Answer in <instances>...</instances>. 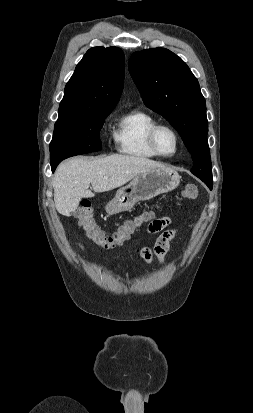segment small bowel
Wrapping results in <instances>:
<instances>
[{
	"label": "small bowel",
	"mask_w": 253,
	"mask_h": 413,
	"mask_svg": "<svg viewBox=\"0 0 253 413\" xmlns=\"http://www.w3.org/2000/svg\"><path fill=\"white\" fill-rule=\"evenodd\" d=\"M171 223L169 216H164L158 219L152 220L148 225V232L151 234L159 233L153 248L144 247L140 249V256L147 262L152 263L156 258L160 263L164 261L166 254L170 249V244L177 235V231L174 229L165 230Z\"/></svg>",
	"instance_id": "obj_1"
}]
</instances>
